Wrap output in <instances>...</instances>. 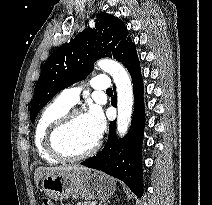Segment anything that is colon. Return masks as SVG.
<instances>
[{
    "label": "colon",
    "mask_w": 212,
    "mask_h": 205,
    "mask_svg": "<svg viewBox=\"0 0 212 205\" xmlns=\"http://www.w3.org/2000/svg\"><path fill=\"white\" fill-rule=\"evenodd\" d=\"M41 205H54V203L50 199L45 198V199L42 200Z\"/></svg>",
    "instance_id": "obj_1"
}]
</instances>
